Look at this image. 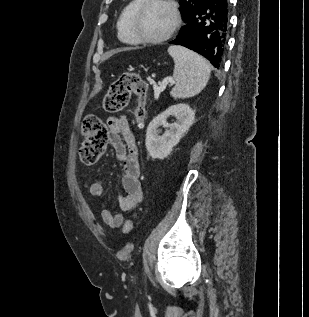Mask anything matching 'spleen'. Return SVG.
Instances as JSON below:
<instances>
[{
	"label": "spleen",
	"mask_w": 309,
	"mask_h": 317,
	"mask_svg": "<svg viewBox=\"0 0 309 317\" xmlns=\"http://www.w3.org/2000/svg\"><path fill=\"white\" fill-rule=\"evenodd\" d=\"M168 53L174 60L173 78L176 81L170 95L175 99H185L199 94L210 77L208 62L182 46H170Z\"/></svg>",
	"instance_id": "spleen-1"
}]
</instances>
